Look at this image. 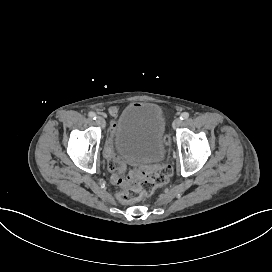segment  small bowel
Returning a JSON list of instances; mask_svg holds the SVG:
<instances>
[{
  "label": "small bowel",
  "mask_w": 272,
  "mask_h": 272,
  "mask_svg": "<svg viewBox=\"0 0 272 272\" xmlns=\"http://www.w3.org/2000/svg\"><path fill=\"white\" fill-rule=\"evenodd\" d=\"M118 112H119V108L117 106H112L108 109L109 115L113 118L118 115ZM110 131H111V139L108 141L106 145V149H105V157L107 159V168H108V162L111 158L120 157L114 152V149H113V143H114L113 138L117 132V123L114 119L111 120L110 122Z\"/></svg>",
  "instance_id": "obj_1"
}]
</instances>
